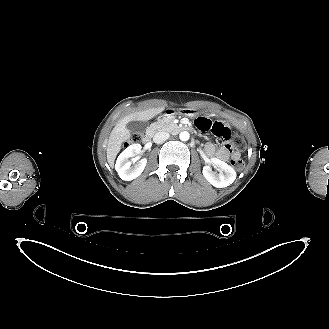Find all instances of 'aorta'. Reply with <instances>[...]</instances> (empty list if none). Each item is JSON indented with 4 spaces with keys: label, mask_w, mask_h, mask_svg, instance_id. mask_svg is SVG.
<instances>
[{
    "label": "aorta",
    "mask_w": 329,
    "mask_h": 329,
    "mask_svg": "<svg viewBox=\"0 0 329 329\" xmlns=\"http://www.w3.org/2000/svg\"><path fill=\"white\" fill-rule=\"evenodd\" d=\"M189 137H190V135L187 131H182L179 135V138L181 141H187V140H189Z\"/></svg>",
    "instance_id": "1"
}]
</instances>
